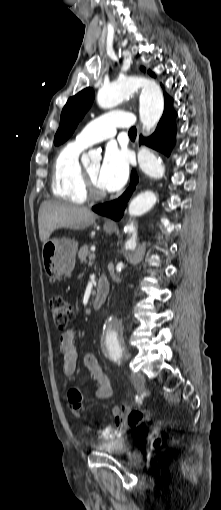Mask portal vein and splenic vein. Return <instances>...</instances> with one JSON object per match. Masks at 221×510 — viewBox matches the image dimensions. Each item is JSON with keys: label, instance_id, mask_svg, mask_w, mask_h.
Returning <instances> with one entry per match:
<instances>
[{"label": "portal vein and splenic vein", "instance_id": "portal-vein-and-splenic-vein-1", "mask_svg": "<svg viewBox=\"0 0 221 510\" xmlns=\"http://www.w3.org/2000/svg\"><path fill=\"white\" fill-rule=\"evenodd\" d=\"M95 257H96V256H95V254H91V255L89 256V260H94V259H95Z\"/></svg>", "mask_w": 221, "mask_h": 510}]
</instances>
